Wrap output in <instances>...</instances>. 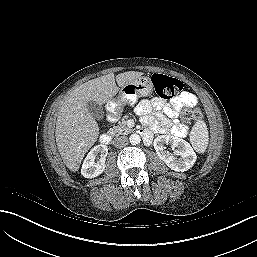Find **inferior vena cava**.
Returning <instances> with one entry per match:
<instances>
[{"mask_svg": "<svg viewBox=\"0 0 257 257\" xmlns=\"http://www.w3.org/2000/svg\"><path fill=\"white\" fill-rule=\"evenodd\" d=\"M127 144H128V137L126 136H120L114 140V146L117 148H122Z\"/></svg>", "mask_w": 257, "mask_h": 257, "instance_id": "obj_1", "label": "inferior vena cava"}]
</instances>
